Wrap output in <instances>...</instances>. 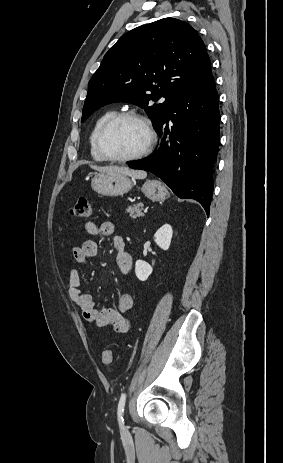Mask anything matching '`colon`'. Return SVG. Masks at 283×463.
Masks as SVG:
<instances>
[{
  "instance_id": "colon-1",
  "label": "colon",
  "mask_w": 283,
  "mask_h": 463,
  "mask_svg": "<svg viewBox=\"0 0 283 463\" xmlns=\"http://www.w3.org/2000/svg\"><path fill=\"white\" fill-rule=\"evenodd\" d=\"M70 213L73 217L84 220L92 215V205L86 198H80L71 208ZM114 360V353L107 349L102 353V362L106 366H110Z\"/></svg>"
}]
</instances>
